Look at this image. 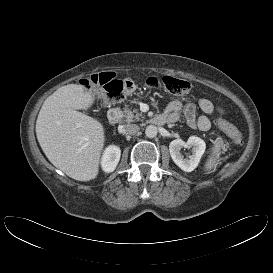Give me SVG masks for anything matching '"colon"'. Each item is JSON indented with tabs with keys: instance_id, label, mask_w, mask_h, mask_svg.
<instances>
[{
	"instance_id": "5ec220e1",
	"label": "colon",
	"mask_w": 273,
	"mask_h": 273,
	"mask_svg": "<svg viewBox=\"0 0 273 273\" xmlns=\"http://www.w3.org/2000/svg\"><path fill=\"white\" fill-rule=\"evenodd\" d=\"M84 87L93 85L103 87V96L110 101H117L123 97V81L116 78L112 72H100L91 75L81 81ZM149 88L158 89L161 85L172 95L182 96L191 89V84L183 79L165 76L161 80L150 78L147 81ZM216 124L235 144H241L243 137L241 132L225 119H218Z\"/></svg>"
}]
</instances>
